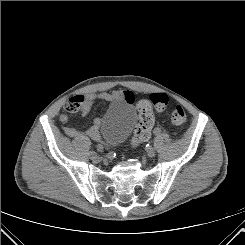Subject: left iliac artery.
Masks as SVG:
<instances>
[{
    "mask_svg": "<svg viewBox=\"0 0 245 245\" xmlns=\"http://www.w3.org/2000/svg\"><path fill=\"white\" fill-rule=\"evenodd\" d=\"M162 133V128L161 127H156L155 128V134L160 135Z\"/></svg>",
    "mask_w": 245,
    "mask_h": 245,
    "instance_id": "44dca946",
    "label": "left iliac artery"
}]
</instances>
